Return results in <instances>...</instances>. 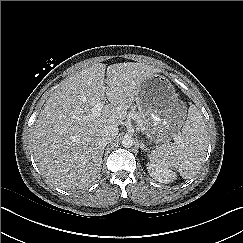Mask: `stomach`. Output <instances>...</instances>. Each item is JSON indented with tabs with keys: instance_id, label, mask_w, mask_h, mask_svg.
<instances>
[{
	"instance_id": "1",
	"label": "stomach",
	"mask_w": 243,
	"mask_h": 243,
	"mask_svg": "<svg viewBox=\"0 0 243 243\" xmlns=\"http://www.w3.org/2000/svg\"><path fill=\"white\" fill-rule=\"evenodd\" d=\"M136 104L151 142L167 144L179 134L187 108L165 76L154 73L146 79L138 90Z\"/></svg>"
}]
</instances>
